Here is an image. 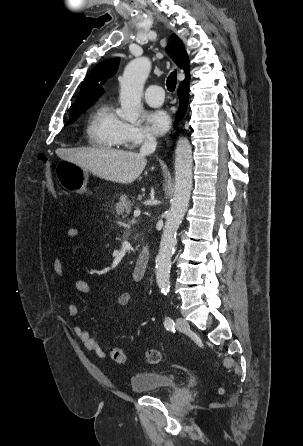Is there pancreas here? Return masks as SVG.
I'll use <instances>...</instances> for the list:
<instances>
[{"label": "pancreas", "instance_id": "1", "mask_svg": "<svg viewBox=\"0 0 303 446\" xmlns=\"http://www.w3.org/2000/svg\"><path fill=\"white\" fill-rule=\"evenodd\" d=\"M132 206V202L127 200L126 196H121L120 201L115 205L116 214L125 218L130 213Z\"/></svg>", "mask_w": 303, "mask_h": 446}]
</instances>
